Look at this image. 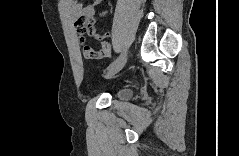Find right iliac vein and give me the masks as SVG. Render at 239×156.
I'll use <instances>...</instances> for the list:
<instances>
[{
    "label": "right iliac vein",
    "instance_id": "right-iliac-vein-1",
    "mask_svg": "<svg viewBox=\"0 0 239 156\" xmlns=\"http://www.w3.org/2000/svg\"><path fill=\"white\" fill-rule=\"evenodd\" d=\"M126 61H127V55L125 54L116 64H114L108 69V72L105 77L111 78L112 76L117 74L124 67V65L126 64Z\"/></svg>",
    "mask_w": 239,
    "mask_h": 156
}]
</instances>
